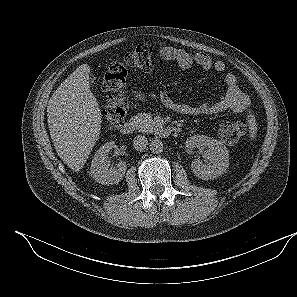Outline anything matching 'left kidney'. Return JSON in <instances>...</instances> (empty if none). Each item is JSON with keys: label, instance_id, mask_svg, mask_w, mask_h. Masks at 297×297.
<instances>
[{"label": "left kidney", "instance_id": "obj_1", "mask_svg": "<svg viewBox=\"0 0 297 297\" xmlns=\"http://www.w3.org/2000/svg\"><path fill=\"white\" fill-rule=\"evenodd\" d=\"M185 146L188 153H192L195 147L207 148L204 152L206 163L195 159L191 164V170L198 178L214 179L228 170L229 152L220 141L205 135H193L186 140Z\"/></svg>", "mask_w": 297, "mask_h": 297}]
</instances>
